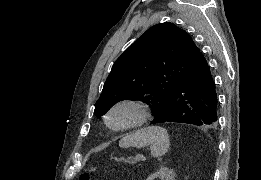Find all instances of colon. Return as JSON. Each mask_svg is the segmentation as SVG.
<instances>
[{
  "label": "colon",
  "mask_w": 261,
  "mask_h": 180,
  "mask_svg": "<svg viewBox=\"0 0 261 180\" xmlns=\"http://www.w3.org/2000/svg\"><path fill=\"white\" fill-rule=\"evenodd\" d=\"M80 180H90V175L87 173H83L80 175Z\"/></svg>",
  "instance_id": "1"
}]
</instances>
